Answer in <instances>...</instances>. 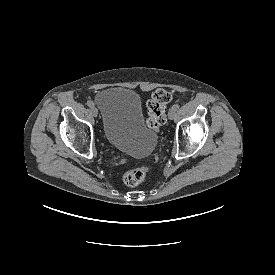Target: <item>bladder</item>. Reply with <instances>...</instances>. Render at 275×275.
Listing matches in <instances>:
<instances>
[{
    "mask_svg": "<svg viewBox=\"0 0 275 275\" xmlns=\"http://www.w3.org/2000/svg\"><path fill=\"white\" fill-rule=\"evenodd\" d=\"M95 103L102 113L103 133L108 143L133 157L152 154L157 137L144 122L134 90L106 89L96 95Z\"/></svg>",
    "mask_w": 275,
    "mask_h": 275,
    "instance_id": "bladder-1",
    "label": "bladder"
}]
</instances>
